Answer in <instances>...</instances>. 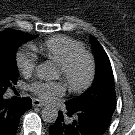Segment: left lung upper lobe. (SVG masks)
I'll list each match as a JSON object with an SVG mask.
<instances>
[{"label": "left lung upper lobe", "instance_id": "left-lung-upper-lobe-1", "mask_svg": "<svg viewBox=\"0 0 135 135\" xmlns=\"http://www.w3.org/2000/svg\"><path fill=\"white\" fill-rule=\"evenodd\" d=\"M96 59V75L92 86L77 98L68 100L70 107H88L95 105L116 106L113 71L109 58L95 37H91Z\"/></svg>", "mask_w": 135, "mask_h": 135}]
</instances>
